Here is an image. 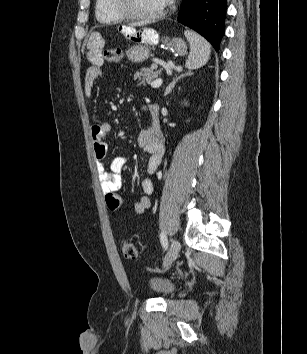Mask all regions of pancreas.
I'll list each match as a JSON object with an SVG mask.
<instances>
[{"label": "pancreas", "mask_w": 307, "mask_h": 354, "mask_svg": "<svg viewBox=\"0 0 307 354\" xmlns=\"http://www.w3.org/2000/svg\"><path fill=\"white\" fill-rule=\"evenodd\" d=\"M161 74V69L156 64H152L150 68H142L134 74V80L139 82V85L150 84L155 78Z\"/></svg>", "instance_id": "1"}]
</instances>
